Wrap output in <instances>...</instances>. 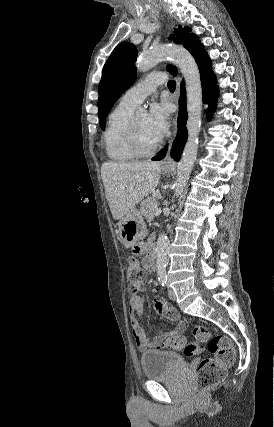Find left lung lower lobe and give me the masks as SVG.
<instances>
[{"instance_id":"0a47b994","label":"left lung lower lobe","mask_w":274,"mask_h":427,"mask_svg":"<svg viewBox=\"0 0 274 427\" xmlns=\"http://www.w3.org/2000/svg\"><path fill=\"white\" fill-rule=\"evenodd\" d=\"M190 53L195 58L200 75H201V82H202V88H203V99L206 103L210 104L209 107V113L211 116V113L214 110V100L217 96V87L215 85L214 75L210 71L211 62L209 58H207V53L203 47V45L199 42L191 51ZM176 75V74H175ZM179 117H178V132L176 139L173 143L172 150H171V157L179 161L181 157V153L183 151L185 142L187 140V129L185 128V123L187 120V112H186V101H185V88L184 84H181V97L179 100ZM167 151V146L162 149L158 155L152 158V160H161L165 157Z\"/></svg>"}]
</instances>
